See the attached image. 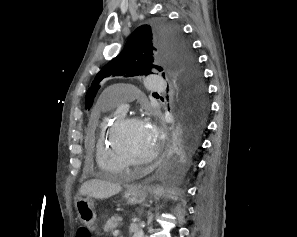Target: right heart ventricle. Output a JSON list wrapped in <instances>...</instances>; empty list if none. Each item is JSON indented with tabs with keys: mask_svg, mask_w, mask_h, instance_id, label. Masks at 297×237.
<instances>
[{
	"mask_svg": "<svg viewBox=\"0 0 297 237\" xmlns=\"http://www.w3.org/2000/svg\"><path fill=\"white\" fill-rule=\"evenodd\" d=\"M109 109L110 107L108 105H104L102 114L107 113ZM119 118V115L111 119L103 116L98 125V133L95 143V158L98 167L107 175H115L126 168L121 160L115 155L110 144L111 131Z\"/></svg>",
	"mask_w": 297,
	"mask_h": 237,
	"instance_id": "e07e8e85",
	"label": "right heart ventricle"
}]
</instances>
